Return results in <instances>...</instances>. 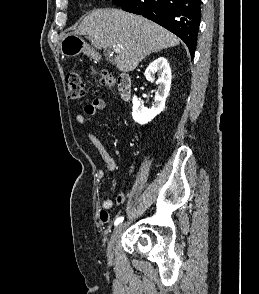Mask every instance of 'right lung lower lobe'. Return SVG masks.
Here are the masks:
<instances>
[{"instance_id":"obj_1","label":"right lung lower lobe","mask_w":259,"mask_h":294,"mask_svg":"<svg viewBox=\"0 0 259 294\" xmlns=\"http://www.w3.org/2000/svg\"><path fill=\"white\" fill-rule=\"evenodd\" d=\"M201 0H127L120 7L140 14L180 37L194 57Z\"/></svg>"}]
</instances>
